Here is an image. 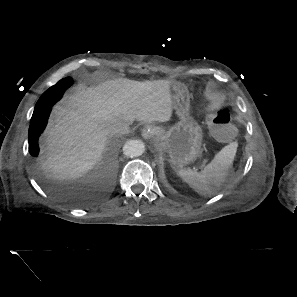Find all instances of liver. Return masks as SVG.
Here are the masks:
<instances>
[{
	"mask_svg": "<svg viewBox=\"0 0 297 297\" xmlns=\"http://www.w3.org/2000/svg\"><path fill=\"white\" fill-rule=\"evenodd\" d=\"M171 86L168 80L119 78L79 88L53 109L41 143L43 170L64 183L67 194H76L81 177L102 160L115 123L170 119Z\"/></svg>",
	"mask_w": 297,
	"mask_h": 297,
	"instance_id": "obj_1",
	"label": "liver"
}]
</instances>
